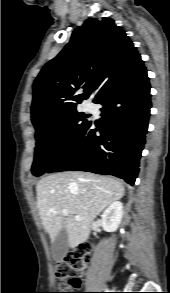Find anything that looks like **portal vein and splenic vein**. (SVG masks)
I'll use <instances>...</instances> for the list:
<instances>
[{
  "mask_svg": "<svg viewBox=\"0 0 170 293\" xmlns=\"http://www.w3.org/2000/svg\"><path fill=\"white\" fill-rule=\"evenodd\" d=\"M62 213H63L64 216H68V214H69L68 210H66V209H63V210H62ZM75 218H76V219H79L78 216H76Z\"/></svg>",
  "mask_w": 170,
  "mask_h": 293,
  "instance_id": "18ae733b",
  "label": "portal vein and splenic vein"
}]
</instances>
